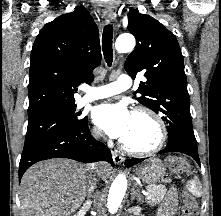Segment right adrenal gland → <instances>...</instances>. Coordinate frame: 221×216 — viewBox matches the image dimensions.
<instances>
[{
	"label": "right adrenal gland",
	"instance_id": "obj_1",
	"mask_svg": "<svg viewBox=\"0 0 221 216\" xmlns=\"http://www.w3.org/2000/svg\"><path fill=\"white\" fill-rule=\"evenodd\" d=\"M92 189H93V187H90V188L88 189V194H87L88 197L90 196V194H91V192H92Z\"/></svg>",
	"mask_w": 221,
	"mask_h": 216
}]
</instances>
